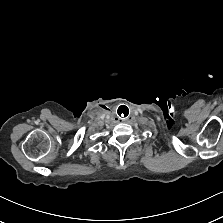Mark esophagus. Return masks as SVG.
<instances>
[{"label": "esophagus", "instance_id": "1", "mask_svg": "<svg viewBox=\"0 0 223 223\" xmlns=\"http://www.w3.org/2000/svg\"><path fill=\"white\" fill-rule=\"evenodd\" d=\"M122 107H124V106H120V107H119V109L121 110V109H122ZM125 110H126V113H127V109H126V108H125Z\"/></svg>", "mask_w": 223, "mask_h": 223}]
</instances>
